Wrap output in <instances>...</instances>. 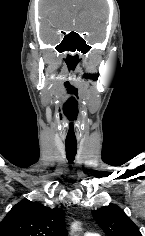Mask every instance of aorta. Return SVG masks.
<instances>
[{
	"instance_id": "1",
	"label": "aorta",
	"mask_w": 145,
	"mask_h": 236,
	"mask_svg": "<svg viewBox=\"0 0 145 236\" xmlns=\"http://www.w3.org/2000/svg\"><path fill=\"white\" fill-rule=\"evenodd\" d=\"M72 228H73L74 230H76V229H77V223H74V224L72 225Z\"/></svg>"
}]
</instances>
